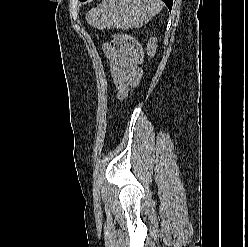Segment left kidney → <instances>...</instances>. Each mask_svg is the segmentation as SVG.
I'll list each match as a JSON object with an SVG mask.
<instances>
[{"mask_svg": "<svg viewBox=\"0 0 248 247\" xmlns=\"http://www.w3.org/2000/svg\"><path fill=\"white\" fill-rule=\"evenodd\" d=\"M157 49V37H152L147 43V54L150 57H154Z\"/></svg>", "mask_w": 248, "mask_h": 247, "instance_id": "5707ae66", "label": "left kidney"}]
</instances>
